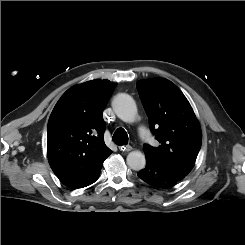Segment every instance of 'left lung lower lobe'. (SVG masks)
Masks as SVG:
<instances>
[{"instance_id": "1", "label": "left lung lower lobe", "mask_w": 245, "mask_h": 245, "mask_svg": "<svg viewBox=\"0 0 245 245\" xmlns=\"http://www.w3.org/2000/svg\"><path fill=\"white\" fill-rule=\"evenodd\" d=\"M137 176L149 185L156 188L167 189L180 183L186 176L162 168L150 160L146 166L137 173Z\"/></svg>"}]
</instances>
